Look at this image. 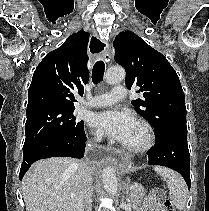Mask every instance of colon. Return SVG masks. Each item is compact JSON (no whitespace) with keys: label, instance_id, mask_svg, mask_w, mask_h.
<instances>
[{"label":"colon","instance_id":"5ec220e1","mask_svg":"<svg viewBox=\"0 0 209 211\" xmlns=\"http://www.w3.org/2000/svg\"><path fill=\"white\" fill-rule=\"evenodd\" d=\"M163 206H164V211H176L173 203L169 199L164 200Z\"/></svg>","mask_w":209,"mask_h":211}]
</instances>
